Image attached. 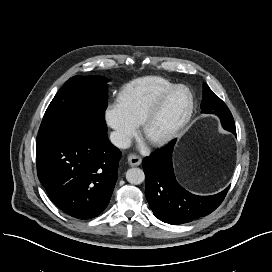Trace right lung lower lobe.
Segmentation results:
<instances>
[{
	"instance_id": "98d812e1",
	"label": "right lung lower lobe",
	"mask_w": 272,
	"mask_h": 272,
	"mask_svg": "<svg viewBox=\"0 0 272 272\" xmlns=\"http://www.w3.org/2000/svg\"><path fill=\"white\" fill-rule=\"evenodd\" d=\"M121 155L106 132L74 130L36 140L41 184L60 210L83 220L98 216L108 205Z\"/></svg>"
}]
</instances>
